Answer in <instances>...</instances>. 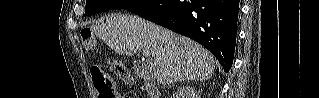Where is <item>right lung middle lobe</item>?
Returning <instances> with one entry per match:
<instances>
[{"instance_id":"right-lung-middle-lobe-1","label":"right lung middle lobe","mask_w":319,"mask_h":98,"mask_svg":"<svg viewBox=\"0 0 319 98\" xmlns=\"http://www.w3.org/2000/svg\"><path fill=\"white\" fill-rule=\"evenodd\" d=\"M150 0H87L85 15L91 16L113 9H131L141 7L149 3Z\"/></svg>"}]
</instances>
